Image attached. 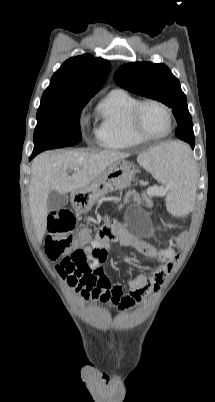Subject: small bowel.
<instances>
[{"mask_svg": "<svg viewBox=\"0 0 215 402\" xmlns=\"http://www.w3.org/2000/svg\"><path fill=\"white\" fill-rule=\"evenodd\" d=\"M147 202V201H146ZM148 203V202H147ZM113 241L123 246L140 250L147 255L157 256L161 263H167L173 252L164 248L157 250L149 243L128 232L123 225L115 223L102 227L92 238L91 244L80 250L84 259L69 267L58 266V271L66 284L85 300H100L125 312L136 307L145 297L157 290L168 272L166 266L153 275L138 274L129 280V289L124 293L119 282H112L105 274L103 264L108 260L110 244ZM82 267L85 269L83 270Z\"/></svg>", "mask_w": 215, "mask_h": 402, "instance_id": "obj_1", "label": "small bowel"}]
</instances>
